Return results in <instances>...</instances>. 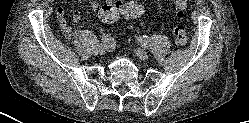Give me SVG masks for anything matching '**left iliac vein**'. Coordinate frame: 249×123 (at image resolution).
<instances>
[{
  "instance_id": "left-iliac-vein-1",
  "label": "left iliac vein",
  "mask_w": 249,
  "mask_h": 123,
  "mask_svg": "<svg viewBox=\"0 0 249 123\" xmlns=\"http://www.w3.org/2000/svg\"><path fill=\"white\" fill-rule=\"evenodd\" d=\"M136 54L141 60H148L149 58L147 52L141 48L136 49Z\"/></svg>"
}]
</instances>
